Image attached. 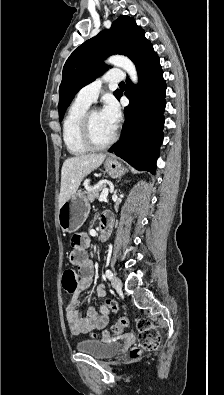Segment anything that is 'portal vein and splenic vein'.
I'll list each match as a JSON object with an SVG mask.
<instances>
[{
    "label": "portal vein and splenic vein",
    "instance_id": "1",
    "mask_svg": "<svg viewBox=\"0 0 224 395\" xmlns=\"http://www.w3.org/2000/svg\"><path fill=\"white\" fill-rule=\"evenodd\" d=\"M107 196H108V189L107 188H104L103 190H102V192H101V195H100V197H99V201H105L106 200V198H107Z\"/></svg>",
    "mask_w": 224,
    "mask_h": 395
}]
</instances>
